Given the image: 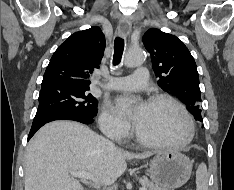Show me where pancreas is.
Segmentation results:
<instances>
[{"instance_id": "pancreas-1", "label": "pancreas", "mask_w": 234, "mask_h": 190, "mask_svg": "<svg viewBox=\"0 0 234 190\" xmlns=\"http://www.w3.org/2000/svg\"><path fill=\"white\" fill-rule=\"evenodd\" d=\"M141 183L148 188V190H165L157 185H155L154 183H152L151 181H149L146 177H144L143 179H141Z\"/></svg>"}]
</instances>
